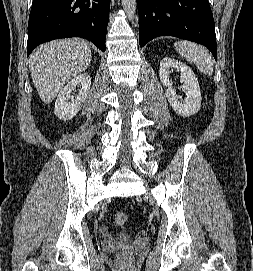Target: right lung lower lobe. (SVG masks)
I'll use <instances>...</instances> for the list:
<instances>
[{"instance_id": "obj_1", "label": "right lung lower lobe", "mask_w": 253, "mask_h": 271, "mask_svg": "<svg viewBox=\"0 0 253 271\" xmlns=\"http://www.w3.org/2000/svg\"><path fill=\"white\" fill-rule=\"evenodd\" d=\"M110 0H33L28 22L27 56L39 44L82 37L105 51Z\"/></svg>"}]
</instances>
